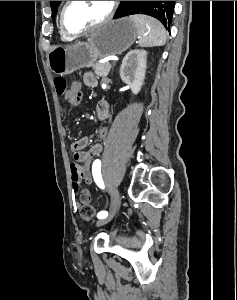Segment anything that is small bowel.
Instances as JSON below:
<instances>
[{"instance_id": "small-bowel-1", "label": "small bowel", "mask_w": 237, "mask_h": 300, "mask_svg": "<svg viewBox=\"0 0 237 300\" xmlns=\"http://www.w3.org/2000/svg\"><path fill=\"white\" fill-rule=\"evenodd\" d=\"M83 83L87 87H95L97 85V78L93 73H86L83 76ZM81 89V83L74 81L69 89V93H75ZM96 116L100 122H104L109 117V104L101 100L96 106ZM108 135V127L102 126L99 131V137L101 140H105ZM89 146V138L83 137L78 139L72 144V150L74 151L73 159L74 163L70 165L71 174L77 172L80 179L83 178L87 184H91L93 181L91 165L92 160L98 157L102 152V144L95 143Z\"/></svg>"}]
</instances>
